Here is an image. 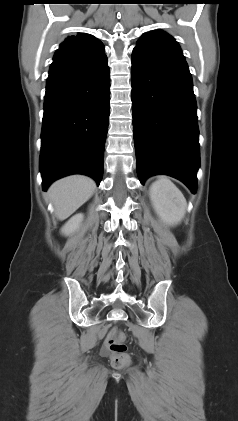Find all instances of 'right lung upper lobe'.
Segmentation results:
<instances>
[{"instance_id": "cb5924a9", "label": "right lung upper lobe", "mask_w": 238, "mask_h": 421, "mask_svg": "<svg viewBox=\"0 0 238 421\" xmlns=\"http://www.w3.org/2000/svg\"><path fill=\"white\" fill-rule=\"evenodd\" d=\"M105 55L101 41L92 35L79 33L68 37L56 51L53 60L64 61Z\"/></svg>"}]
</instances>
